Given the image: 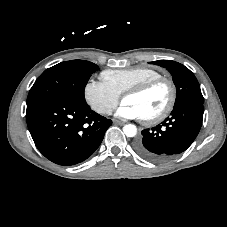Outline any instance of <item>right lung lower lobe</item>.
<instances>
[{
	"label": "right lung lower lobe",
	"mask_w": 227,
	"mask_h": 227,
	"mask_svg": "<svg viewBox=\"0 0 227 227\" xmlns=\"http://www.w3.org/2000/svg\"><path fill=\"white\" fill-rule=\"evenodd\" d=\"M26 120L38 150L63 166L87 159L99 147L112 123L85 102L54 97L27 102Z\"/></svg>",
	"instance_id": "1"
}]
</instances>
